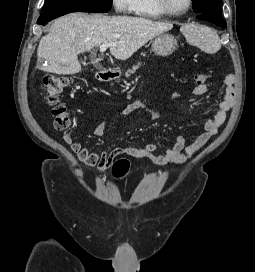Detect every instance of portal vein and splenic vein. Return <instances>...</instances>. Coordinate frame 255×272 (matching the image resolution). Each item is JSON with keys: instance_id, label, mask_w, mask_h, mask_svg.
Listing matches in <instances>:
<instances>
[{"instance_id": "portal-vein-and-splenic-vein-1", "label": "portal vein and splenic vein", "mask_w": 255, "mask_h": 272, "mask_svg": "<svg viewBox=\"0 0 255 272\" xmlns=\"http://www.w3.org/2000/svg\"><path fill=\"white\" fill-rule=\"evenodd\" d=\"M112 45H113V44H111V43H103V44H101V45H100V52H101V53L105 52L106 49H107L108 47L112 46Z\"/></svg>"}]
</instances>
